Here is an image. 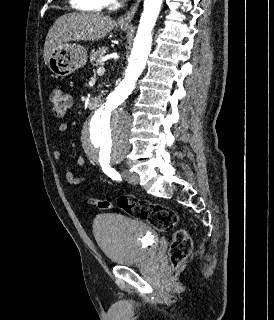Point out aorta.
I'll use <instances>...</instances> for the list:
<instances>
[{
	"mask_svg": "<svg viewBox=\"0 0 274 320\" xmlns=\"http://www.w3.org/2000/svg\"><path fill=\"white\" fill-rule=\"evenodd\" d=\"M162 1L144 0L143 13L124 77L83 128V149L94 162L120 161L128 153L131 120L123 105L146 66L152 45V29Z\"/></svg>",
	"mask_w": 274,
	"mask_h": 320,
	"instance_id": "1",
	"label": "aorta"
}]
</instances>
